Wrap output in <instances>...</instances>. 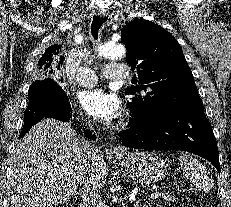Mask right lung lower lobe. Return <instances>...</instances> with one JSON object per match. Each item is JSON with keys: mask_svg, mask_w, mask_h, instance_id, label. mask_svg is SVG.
I'll return each mask as SVG.
<instances>
[{"mask_svg": "<svg viewBox=\"0 0 231 207\" xmlns=\"http://www.w3.org/2000/svg\"><path fill=\"white\" fill-rule=\"evenodd\" d=\"M35 94L29 100L24 113V126L19 135L22 138L29 129L45 118H55L63 122L72 120V109L69 99L62 88L52 79L41 81L34 86ZM86 137L95 139V135L85 131Z\"/></svg>", "mask_w": 231, "mask_h": 207, "instance_id": "obj_1", "label": "right lung lower lobe"}]
</instances>
